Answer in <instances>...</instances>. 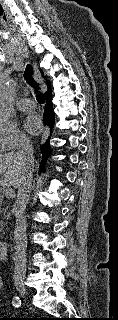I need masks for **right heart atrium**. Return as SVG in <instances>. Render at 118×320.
Listing matches in <instances>:
<instances>
[{
  "label": "right heart atrium",
  "instance_id": "obj_1",
  "mask_svg": "<svg viewBox=\"0 0 118 320\" xmlns=\"http://www.w3.org/2000/svg\"><path fill=\"white\" fill-rule=\"evenodd\" d=\"M27 135L12 123H0V152L14 150L28 144Z\"/></svg>",
  "mask_w": 118,
  "mask_h": 320
}]
</instances>
